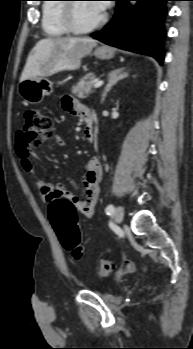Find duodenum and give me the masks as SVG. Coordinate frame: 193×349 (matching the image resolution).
I'll return each instance as SVG.
<instances>
[{"label":"duodenum","mask_w":193,"mask_h":349,"mask_svg":"<svg viewBox=\"0 0 193 349\" xmlns=\"http://www.w3.org/2000/svg\"><path fill=\"white\" fill-rule=\"evenodd\" d=\"M84 119H85L86 127L88 129H92L93 117H92L91 112L88 109H86L84 112Z\"/></svg>","instance_id":"1"}]
</instances>
